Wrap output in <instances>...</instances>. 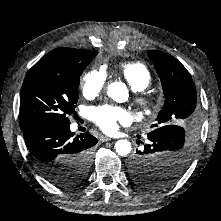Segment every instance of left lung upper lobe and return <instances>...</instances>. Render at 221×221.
Here are the masks:
<instances>
[{
    "label": "left lung upper lobe",
    "instance_id": "left-lung-upper-lobe-1",
    "mask_svg": "<svg viewBox=\"0 0 221 221\" xmlns=\"http://www.w3.org/2000/svg\"><path fill=\"white\" fill-rule=\"evenodd\" d=\"M147 55L161 79L165 102L156 129L148 134L149 144L139 153L147 167L141 174L132 172L131 178L142 187L162 188L176 181L190 162L192 145L185 142L183 127L191 129L199 120L196 87L187 69L173 56L158 50H148ZM153 174L164 177L153 183Z\"/></svg>",
    "mask_w": 221,
    "mask_h": 221
}]
</instances>
